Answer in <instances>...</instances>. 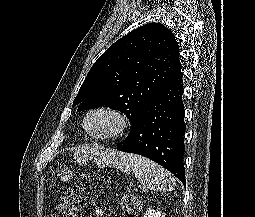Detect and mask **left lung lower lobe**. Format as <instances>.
I'll return each instance as SVG.
<instances>
[{"mask_svg":"<svg viewBox=\"0 0 255 217\" xmlns=\"http://www.w3.org/2000/svg\"><path fill=\"white\" fill-rule=\"evenodd\" d=\"M183 73L179 70L146 107L117 150L147 157L186 185L183 156Z\"/></svg>","mask_w":255,"mask_h":217,"instance_id":"0a47b994","label":"left lung lower lobe"}]
</instances>
